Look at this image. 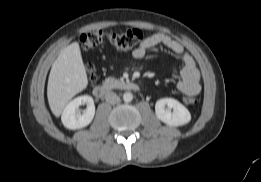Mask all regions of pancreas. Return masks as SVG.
Returning a JSON list of instances; mask_svg holds the SVG:
<instances>
[{"label": "pancreas", "mask_w": 261, "mask_h": 182, "mask_svg": "<svg viewBox=\"0 0 261 182\" xmlns=\"http://www.w3.org/2000/svg\"><path fill=\"white\" fill-rule=\"evenodd\" d=\"M123 82L113 77H108L104 80L103 84L108 88H118Z\"/></svg>", "instance_id": "cf45deb5"}]
</instances>
